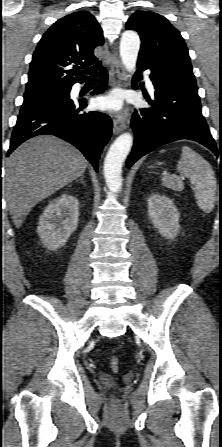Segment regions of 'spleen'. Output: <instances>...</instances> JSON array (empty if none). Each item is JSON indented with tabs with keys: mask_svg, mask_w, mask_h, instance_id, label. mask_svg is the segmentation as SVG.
Listing matches in <instances>:
<instances>
[{
	"mask_svg": "<svg viewBox=\"0 0 222 447\" xmlns=\"http://www.w3.org/2000/svg\"><path fill=\"white\" fill-rule=\"evenodd\" d=\"M177 171L190 180L199 208L210 213L216 200V178L211 165L190 147L182 148V156L177 164ZM162 184L174 191L184 188L182 179L176 175H164Z\"/></svg>",
	"mask_w": 222,
	"mask_h": 447,
	"instance_id": "3e777b00",
	"label": "spleen"
}]
</instances>
